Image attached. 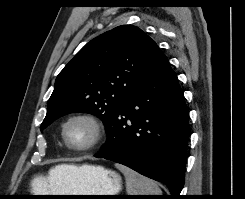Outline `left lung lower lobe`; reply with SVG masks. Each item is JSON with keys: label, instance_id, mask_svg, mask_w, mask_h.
Segmentation results:
<instances>
[{"label": "left lung lower lobe", "instance_id": "left-lung-lower-lobe-1", "mask_svg": "<svg viewBox=\"0 0 245 199\" xmlns=\"http://www.w3.org/2000/svg\"><path fill=\"white\" fill-rule=\"evenodd\" d=\"M189 112L177 76L165 55L145 82L116 109L107 141L95 154L164 183L171 199L184 185Z\"/></svg>", "mask_w": 245, "mask_h": 199}]
</instances>
